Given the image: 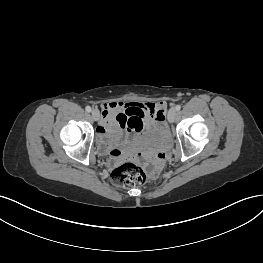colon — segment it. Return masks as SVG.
I'll use <instances>...</instances> for the list:
<instances>
[{"instance_id":"colon-1","label":"colon","mask_w":263,"mask_h":263,"mask_svg":"<svg viewBox=\"0 0 263 263\" xmlns=\"http://www.w3.org/2000/svg\"><path fill=\"white\" fill-rule=\"evenodd\" d=\"M111 179L118 186L132 188L142 185L146 181V173L138 164L126 162L112 170Z\"/></svg>"}]
</instances>
